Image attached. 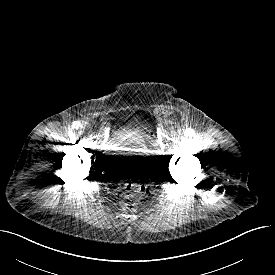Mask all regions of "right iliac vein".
<instances>
[{
  "label": "right iliac vein",
  "mask_w": 275,
  "mask_h": 275,
  "mask_svg": "<svg viewBox=\"0 0 275 275\" xmlns=\"http://www.w3.org/2000/svg\"><path fill=\"white\" fill-rule=\"evenodd\" d=\"M82 128H83L84 130H88V129H89V125L84 124V125L82 126Z\"/></svg>",
  "instance_id": "obj_1"
}]
</instances>
